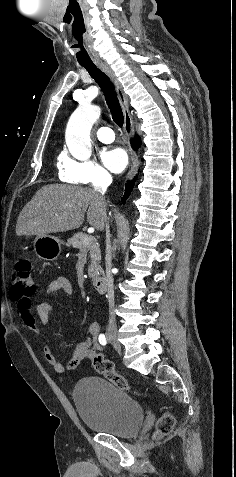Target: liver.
I'll return each instance as SVG.
<instances>
[{"instance_id":"liver-1","label":"liver","mask_w":236,"mask_h":477,"mask_svg":"<svg viewBox=\"0 0 236 477\" xmlns=\"http://www.w3.org/2000/svg\"><path fill=\"white\" fill-rule=\"evenodd\" d=\"M107 205L94 190L51 184L39 189L19 214L17 236H43L79 228L87 212L88 223L102 230Z\"/></svg>"}]
</instances>
